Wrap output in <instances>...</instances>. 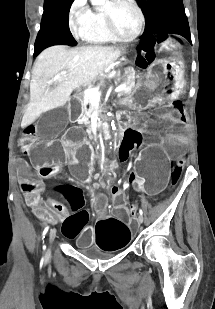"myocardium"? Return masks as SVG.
Instances as JSON below:
<instances>
[{"instance_id":"f54148a6","label":"myocardium","mask_w":215,"mask_h":309,"mask_svg":"<svg viewBox=\"0 0 215 309\" xmlns=\"http://www.w3.org/2000/svg\"><path fill=\"white\" fill-rule=\"evenodd\" d=\"M121 7L128 8L133 16H134V27L133 31L130 27H114V20L113 19H107L106 20V29L107 35L112 38H116V43H125V42H131L135 40L142 29L143 25V16L141 11L132 4H122ZM109 18V17H108Z\"/></svg>"}]
</instances>
